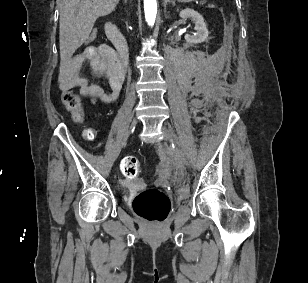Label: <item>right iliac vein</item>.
<instances>
[{"label": "right iliac vein", "instance_id": "63e3f726", "mask_svg": "<svg viewBox=\"0 0 308 283\" xmlns=\"http://www.w3.org/2000/svg\"><path fill=\"white\" fill-rule=\"evenodd\" d=\"M136 122H137V121H136V119L134 118V119L132 120V122H131V125H130V127H129V130H128L126 136H125V139H124V142L122 143V145H124V143H125V141L127 140V137H128V135H129L131 129L134 128V126L136 125Z\"/></svg>", "mask_w": 308, "mask_h": 283}]
</instances>
